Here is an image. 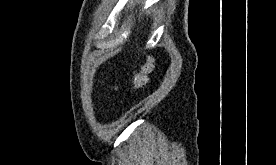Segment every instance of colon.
Returning a JSON list of instances; mask_svg holds the SVG:
<instances>
[{
  "label": "colon",
  "mask_w": 276,
  "mask_h": 165,
  "mask_svg": "<svg viewBox=\"0 0 276 165\" xmlns=\"http://www.w3.org/2000/svg\"><path fill=\"white\" fill-rule=\"evenodd\" d=\"M153 70V59L148 56L140 65L138 70L134 72L132 83L135 90H140L146 86L149 80V75Z\"/></svg>",
  "instance_id": "obj_1"
}]
</instances>
